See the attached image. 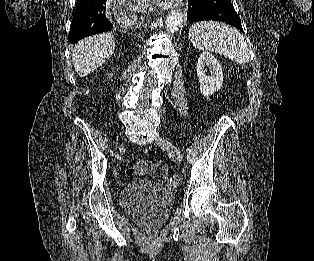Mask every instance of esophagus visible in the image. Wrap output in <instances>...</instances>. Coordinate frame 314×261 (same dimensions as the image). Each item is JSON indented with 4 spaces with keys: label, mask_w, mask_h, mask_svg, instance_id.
I'll list each match as a JSON object with an SVG mask.
<instances>
[{
    "label": "esophagus",
    "mask_w": 314,
    "mask_h": 261,
    "mask_svg": "<svg viewBox=\"0 0 314 261\" xmlns=\"http://www.w3.org/2000/svg\"><path fill=\"white\" fill-rule=\"evenodd\" d=\"M172 5H174L176 7H182L183 6V2H182V0H165L164 2L162 1V3L159 4V6L163 10L170 9L172 7Z\"/></svg>",
    "instance_id": "34e87169"
}]
</instances>
